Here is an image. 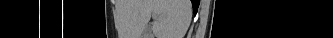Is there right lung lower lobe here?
Wrapping results in <instances>:
<instances>
[{
    "instance_id": "98d812e1",
    "label": "right lung lower lobe",
    "mask_w": 333,
    "mask_h": 38,
    "mask_svg": "<svg viewBox=\"0 0 333 38\" xmlns=\"http://www.w3.org/2000/svg\"><path fill=\"white\" fill-rule=\"evenodd\" d=\"M191 1H192L193 8H194V10H195V8H196V4H198L199 1H196V0H191Z\"/></svg>"
}]
</instances>
